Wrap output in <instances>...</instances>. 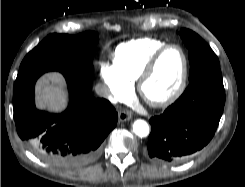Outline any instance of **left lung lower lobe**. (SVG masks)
<instances>
[{"label": "left lung lower lobe", "mask_w": 245, "mask_h": 187, "mask_svg": "<svg viewBox=\"0 0 245 187\" xmlns=\"http://www.w3.org/2000/svg\"><path fill=\"white\" fill-rule=\"evenodd\" d=\"M225 104L220 69L204 73L160 116L152 117L147 156L157 164H175L212 139Z\"/></svg>", "instance_id": "1"}]
</instances>
